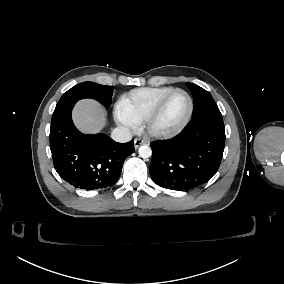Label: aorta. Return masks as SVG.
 <instances>
[{
  "label": "aorta",
  "instance_id": "obj_1",
  "mask_svg": "<svg viewBox=\"0 0 284 284\" xmlns=\"http://www.w3.org/2000/svg\"><path fill=\"white\" fill-rule=\"evenodd\" d=\"M139 156L142 158H149L152 155V150L147 145H142L139 147Z\"/></svg>",
  "mask_w": 284,
  "mask_h": 284
}]
</instances>
